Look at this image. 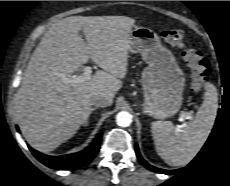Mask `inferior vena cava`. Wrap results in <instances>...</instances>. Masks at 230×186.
I'll return each instance as SVG.
<instances>
[{"mask_svg":"<svg viewBox=\"0 0 230 186\" xmlns=\"http://www.w3.org/2000/svg\"><path fill=\"white\" fill-rule=\"evenodd\" d=\"M91 105L96 107H107L110 105V100L103 94H97L91 98Z\"/></svg>","mask_w":230,"mask_h":186,"instance_id":"602c4592","label":"inferior vena cava"}]
</instances>
